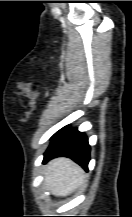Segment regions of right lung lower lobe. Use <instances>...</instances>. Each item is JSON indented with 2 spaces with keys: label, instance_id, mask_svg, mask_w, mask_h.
Listing matches in <instances>:
<instances>
[{
  "label": "right lung lower lobe",
  "instance_id": "1",
  "mask_svg": "<svg viewBox=\"0 0 132 217\" xmlns=\"http://www.w3.org/2000/svg\"><path fill=\"white\" fill-rule=\"evenodd\" d=\"M59 156L70 157L84 169H88L90 146L85 134L68 126L59 130L52 137V142L44 153L43 162Z\"/></svg>",
  "mask_w": 132,
  "mask_h": 217
}]
</instances>
